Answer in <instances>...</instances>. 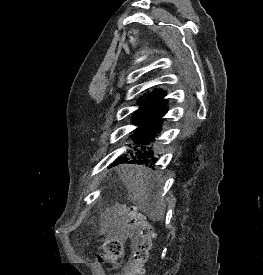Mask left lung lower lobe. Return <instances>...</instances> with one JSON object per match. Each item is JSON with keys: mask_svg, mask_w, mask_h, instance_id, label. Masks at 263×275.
<instances>
[{"mask_svg": "<svg viewBox=\"0 0 263 275\" xmlns=\"http://www.w3.org/2000/svg\"><path fill=\"white\" fill-rule=\"evenodd\" d=\"M165 95L164 91L155 89L147 95L141 102L139 109L134 113L132 122L138 126L135 129V133L130 136L134 144L145 145L146 143L149 144L150 140L154 141V137L157 136L162 126V116L168 110L166 106L167 101L163 99ZM129 146L131 147V145ZM156 160L154 153L144 147L136 153L129 151L128 156H120L117 162L149 166L150 164H155ZM114 165L116 163L112 166Z\"/></svg>", "mask_w": 263, "mask_h": 275, "instance_id": "1", "label": "left lung lower lobe"}]
</instances>
